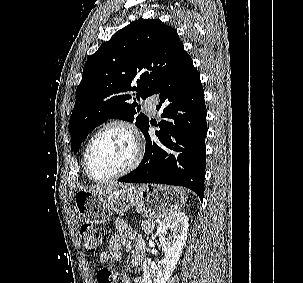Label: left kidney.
Segmentation results:
<instances>
[{
	"instance_id": "obj_1",
	"label": "left kidney",
	"mask_w": 303,
	"mask_h": 283,
	"mask_svg": "<svg viewBox=\"0 0 303 283\" xmlns=\"http://www.w3.org/2000/svg\"><path fill=\"white\" fill-rule=\"evenodd\" d=\"M188 227V217L185 213L171 215L159 224L156 236L159 238L165 258L157 265L150 258L144 261L143 278L145 283H166L169 280L186 243Z\"/></svg>"
}]
</instances>
